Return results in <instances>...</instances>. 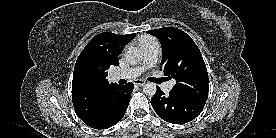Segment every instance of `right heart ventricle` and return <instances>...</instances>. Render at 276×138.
<instances>
[{"label":"right heart ventricle","instance_id":"obj_1","mask_svg":"<svg viewBox=\"0 0 276 138\" xmlns=\"http://www.w3.org/2000/svg\"><path fill=\"white\" fill-rule=\"evenodd\" d=\"M154 40H156V39H154V38H152V37H144V38H142V40H141V44H142L143 42L154 41Z\"/></svg>","mask_w":276,"mask_h":138}]
</instances>
